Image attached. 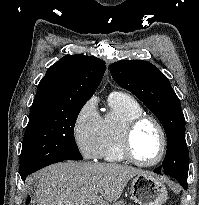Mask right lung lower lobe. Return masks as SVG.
Masks as SVG:
<instances>
[{"instance_id":"obj_1","label":"right lung lower lobe","mask_w":199,"mask_h":205,"mask_svg":"<svg viewBox=\"0 0 199 205\" xmlns=\"http://www.w3.org/2000/svg\"><path fill=\"white\" fill-rule=\"evenodd\" d=\"M61 161H63V160L50 161V162H48V163H46V164H44V165H42V166H40V167H38V168H36V169H34V170H32V171H30V172L24 174V175H21V178H22V180H25L26 177H27L28 175H30L31 173H33V172H35V171H37V170H39V169H41V168H44V167H46V166H48V165H50V164L57 163V162H61Z\"/></svg>"}]
</instances>
